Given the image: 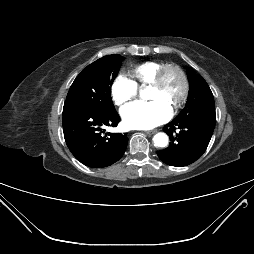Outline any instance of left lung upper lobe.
<instances>
[{"instance_id":"5c2ea615","label":"left lung upper lobe","mask_w":254,"mask_h":254,"mask_svg":"<svg viewBox=\"0 0 254 254\" xmlns=\"http://www.w3.org/2000/svg\"><path fill=\"white\" fill-rule=\"evenodd\" d=\"M187 75L190 90L185 108L190 106L215 107L213 94L204 78L195 75L191 68H187Z\"/></svg>"}]
</instances>
